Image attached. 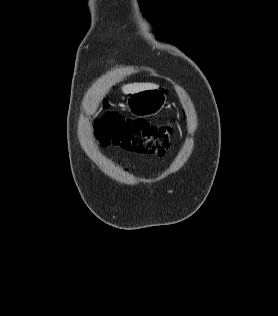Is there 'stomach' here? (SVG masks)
<instances>
[{
	"label": "stomach",
	"mask_w": 278,
	"mask_h": 316,
	"mask_svg": "<svg viewBox=\"0 0 278 316\" xmlns=\"http://www.w3.org/2000/svg\"><path fill=\"white\" fill-rule=\"evenodd\" d=\"M167 101L163 90L146 89L127 96L126 109L134 117H149L162 110Z\"/></svg>",
	"instance_id": "obj_1"
}]
</instances>
